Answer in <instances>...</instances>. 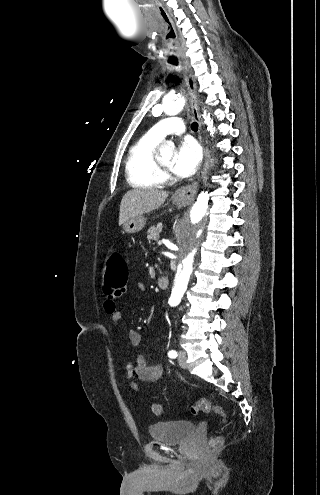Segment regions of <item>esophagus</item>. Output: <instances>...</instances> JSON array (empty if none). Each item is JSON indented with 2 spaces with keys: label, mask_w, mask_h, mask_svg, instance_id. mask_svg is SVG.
<instances>
[{
  "label": "esophagus",
  "mask_w": 320,
  "mask_h": 495,
  "mask_svg": "<svg viewBox=\"0 0 320 495\" xmlns=\"http://www.w3.org/2000/svg\"><path fill=\"white\" fill-rule=\"evenodd\" d=\"M182 64H183V70H184V74H185V81H186V84L188 87L192 111H193L195 118L198 120L199 131H200L202 122H201V117L199 114L195 78L192 74V71L190 69L188 62L184 60ZM199 139H200V142L202 144L204 154H206V147H205V144H204L200 135H199ZM197 187H198V182H193L192 184L183 186L175 192V198L177 200L183 201V202L191 201L194 199V196L197 192Z\"/></svg>",
  "instance_id": "esophagus-1"
}]
</instances>
